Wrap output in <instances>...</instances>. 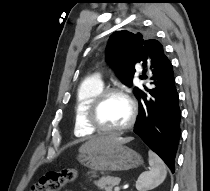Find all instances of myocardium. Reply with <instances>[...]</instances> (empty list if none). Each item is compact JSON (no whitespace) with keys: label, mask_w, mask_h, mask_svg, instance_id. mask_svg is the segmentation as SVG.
<instances>
[{"label":"myocardium","mask_w":210,"mask_h":191,"mask_svg":"<svg viewBox=\"0 0 210 191\" xmlns=\"http://www.w3.org/2000/svg\"><path fill=\"white\" fill-rule=\"evenodd\" d=\"M110 95H120L124 97L128 101L130 106V117L128 122L125 125L118 128H107L103 126L98 117L99 109L102 103ZM136 118H137V104L135 100L125 90L119 87H109L102 89L93 98L86 113L87 124L95 131L107 134H119L129 130L134 125Z\"/></svg>","instance_id":"f54148a6"}]
</instances>
